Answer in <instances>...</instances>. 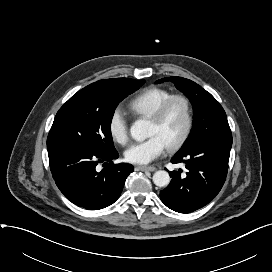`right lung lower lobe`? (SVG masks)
Masks as SVG:
<instances>
[{"label":"right lung lower lobe","mask_w":272,"mask_h":272,"mask_svg":"<svg viewBox=\"0 0 272 272\" xmlns=\"http://www.w3.org/2000/svg\"><path fill=\"white\" fill-rule=\"evenodd\" d=\"M117 158L116 149L108 153L76 149L49 157V163L57 187L69 201L86 209H102L119 198L133 172L130 164H113ZM99 163L107 167L97 172Z\"/></svg>","instance_id":"obj_1"}]
</instances>
